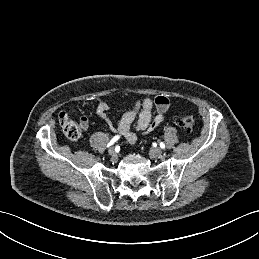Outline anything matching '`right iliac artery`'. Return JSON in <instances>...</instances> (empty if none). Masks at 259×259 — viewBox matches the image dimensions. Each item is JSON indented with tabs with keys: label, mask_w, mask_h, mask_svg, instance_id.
I'll return each instance as SVG.
<instances>
[{
	"label": "right iliac artery",
	"mask_w": 259,
	"mask_h": 259,
	"mask_svg": "<svg viewBox=\"0 0 259 259\" xmlns=\"http://www.w3.org/2000/svg\"><path fill=\"white\" fill-rule=\"evenodd\" d=\"M119 139V136H115L111 141L110 143L107 145V147L111 146L112 144H114L117 140Z\"/></svg>",
	"instance_id": "obj_1"
}]
</instances>
